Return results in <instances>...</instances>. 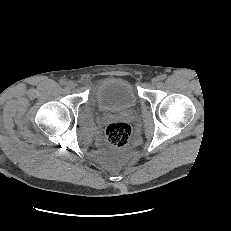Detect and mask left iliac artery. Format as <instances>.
Returning <instances> with one entry per match:
<instances>
[{"instance_id":"44dca946","label":"left iliac artery","mask_w":231,"mask_h":231,"mask_svg":"<svg viewBox=\"0 0 231 231\" xmlns=\"http://www.w3.org/2000/svg\"><path fill=\"white\" fill-rule=\"evenodd\" d=\"M165 78H166L165 74L159 76V80H161V81L164 80Z\"/></svg>"}]
</instances>
